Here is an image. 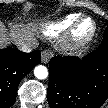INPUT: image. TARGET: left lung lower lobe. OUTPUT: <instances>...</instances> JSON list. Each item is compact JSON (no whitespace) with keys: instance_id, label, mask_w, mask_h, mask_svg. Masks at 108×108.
Segmentation results:
<instances>
[{"instance_id":"obj_1","label":"left lung lower lobe","mask_w":108,"mask_h":108,"mask_svg":"<svg viewBox=\"0 0 108 108\" xmlns=\"http://www.w3.org/2000/svg\"><path fill=\"white\" fill-rule=\"evenodd\" d=\"M47 97L50 108H100L108 98V38L82 59L53 57Z\"/></svg>"}]
</instances>
